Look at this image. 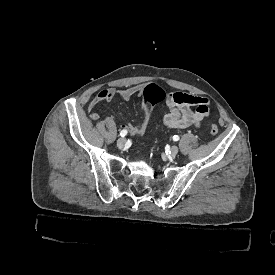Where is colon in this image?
<instances>
[{
    "label": "colon",
    "mask_w": 275,
    "mask_h": 275,
    "mask_svg": "<svg viewBox=\"0 0 275 275\" xmlns=\"http://www.w3.org/2000/svg\"><path fill=\"white\" fill-rule=\"evenodd\" d=\"M144 97L145 101L142 103V110L145 112L144 116V124L140 126V130L132 133L131 136H137V140H142V136H144L145 126L150 118V110L154 108L156 101H162L165 99L166 94L162 91V87L159 84H149L144 89ZM91 110V109H90ZM92 119H96L93 115V112H90ZM218 126L214 123L210 125V133L212 136H216L218 134Z\"/></svg>",
    "instance_id": "colon-1"
}]
</instances>
